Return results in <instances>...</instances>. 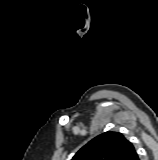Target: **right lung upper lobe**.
<instances>
[{
	"label": "right lung upper lobe",
	"mask_w": 158,
	"mask_h": 160,
	"mask_svg": "<svg viewBox=\"0 0 158 160\" xmlns=\"http://www.w3.org/2000/svg\"><path fill=\"white\" fill-rule=\"evenodd\" d=\"M71 160H139V157L121 133L108 131L88 142Z\"/></svg>",
	"instance_id": "right-lung-upper-lobe-1"
}]
</instances>
